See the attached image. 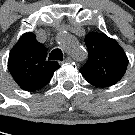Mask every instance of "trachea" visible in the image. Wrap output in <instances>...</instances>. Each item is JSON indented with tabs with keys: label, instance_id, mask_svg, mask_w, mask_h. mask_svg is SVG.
Wrapping results in <instances>:
<instances>
[{
	"label": "trachea",
	"instance_id": "3493384b",
	"mask_svg": "<svg viewBox=\"0 0 135 135\" xmlns=\"http://www.w3.org/2000/svg\"><path fill=\"white\" fill-rule=\"evenodd\" d=\"M49 60H60L63 61V54L60 49H54L50 55H49Z\"/></svg>",
	"mask_w": 135,
	"mask_h": 135
}]
</instances>
